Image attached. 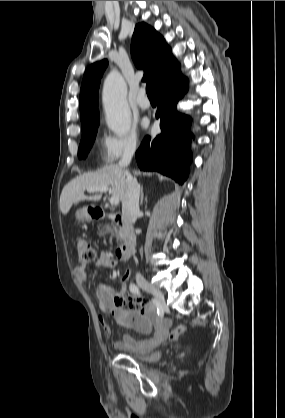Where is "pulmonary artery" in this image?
<instances>
[{
  "label": "pulmonary artery",
  "instance_id": "1",
  "mask_svg": "<svg viewBox=\"0 0 285 418\" xmlns=\"http://www.w3.org/2000/svg\"><path fill=\"white\" fill-rule=\"evenodd\" d=\"M136 104L138 107H140L142 110L149 109L151 106V103L149 99L146 96L145 90L142 89L139 93V96L136 98Z\"/></svg>",
  "mask_w": 285,
  "mask_h": 418
}]
</instances>
